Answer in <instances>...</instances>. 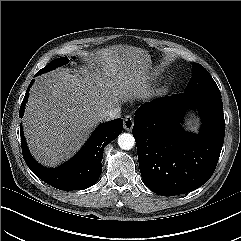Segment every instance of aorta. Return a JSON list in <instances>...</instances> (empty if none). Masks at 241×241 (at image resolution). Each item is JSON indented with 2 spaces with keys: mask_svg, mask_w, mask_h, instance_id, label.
Listing matches in <instances>:
<instances>
[{
  "mask_svg": "<svg viewBox=\"0 0 241 241\" xmlns=\"http://www.w3.org/2000/svg\"><path fill=\"white\" fill-rule=\"evenodd\" d=\"M118 145L123 150H130L135 145V139L132 134L122 133L118 137Z\"/></svg>",
  "mask_w": 241,
  "mask_h": 241,
  "instance_id": "aorta-1",
  "label": "aorta"
}]
</instances>
